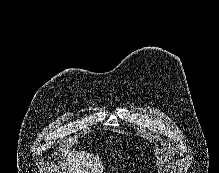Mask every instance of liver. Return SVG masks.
I'll use <instances>...</instances> for the list:
<instances>
[{
	"label": "liver",
	"instance_id": "liver-1",
	"mask_svg": "<svg viewBox=\"0 0 219 173\" xmlns=\"http://www.w3.org/2000/svg\"><path fill=\"white\" fill-rule=\"evenodd\" d=\"M67 161L70 173H102L104 170L99 157L93 160L85 151L73 154L68 152Z\"/></svg>",
	"mask_w": 219,
	"mask_h": 173
}]
</instances>
